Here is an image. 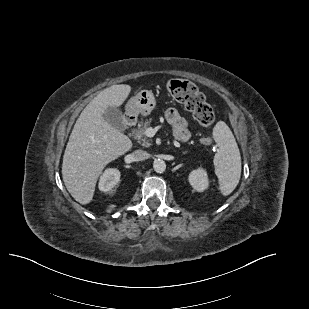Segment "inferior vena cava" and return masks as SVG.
<instances>
[{
    "instance_id": "602c4592",
    "label": "inferior vena cava",
    "mask_w": 309,
    "mask_h": 309,
    "mask_svg": "<svg viewBox=\"0 0 309 309\" xmlns=\"http://www.w3.org/2000/svg\"><path fill=\"white\" fill-rule=\"evenodd\" d=\"M132 157L135 161H144L150 157V154L144 150H136L132 153Z\"/></svg>"
}]
</instances>
